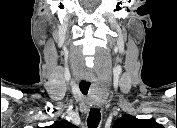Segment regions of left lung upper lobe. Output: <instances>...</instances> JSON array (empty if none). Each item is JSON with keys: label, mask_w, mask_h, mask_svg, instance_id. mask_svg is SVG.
<instances>
[{"label": "left lung upper lobe", "mask_w": 177, "mask_h": 128, "mask_svg": "<svg viewBox=\"0 0 177 128\" xmlns=\"http://www.w3.org/2000/svg\"><path fill=\"white\" fill-rule=\"evenodd\" d=\"M158 124L154 120H140L131 115L122 116L117 119L113 128H152Z\"/></svg>", "instance_id": "5c2ea615"}]
</instances>
